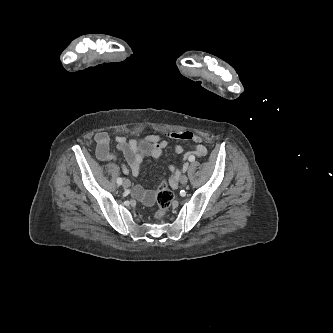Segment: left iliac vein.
I'll return each mask as SVG.
<instances>
[{"instance_id":"obj_1","label":"left iliac vein","mask_w":333,"mask_h":333,"mask_svg":"<svg viewBox=\"0 0 333 333\" xmlns=\"http://www.w3.org/2000/svg\"><path fill=\"white\" fill-rule=\"evenodd\" d=\"M181 184L185 185L188 182V177L186 175H181L179 178Z\"/></svg>"}]
</instances>
